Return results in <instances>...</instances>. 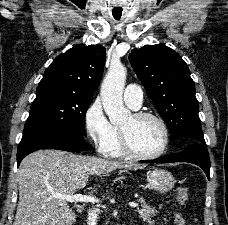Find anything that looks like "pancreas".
I'll return each mask as SVG.
<instances>
[{"instance_id":"cf45deb5","label":"pancreas","mask_w":228,"mask_h":225,"mask_svg":"<svg viewBox=\"0 0 228 225\" xmlns=\"http://www.w3.org/2000/svg\"><path fill=\"white\" fill-rule=\"evenodd\" d=\"M138 203H142V209H138L137 211V213L140 215V219L147 221L149 225H155L154 221H151V217H156V209H151V207H148V205L144 203L143 199H138Z\"/></svg>"}]
</instances>
